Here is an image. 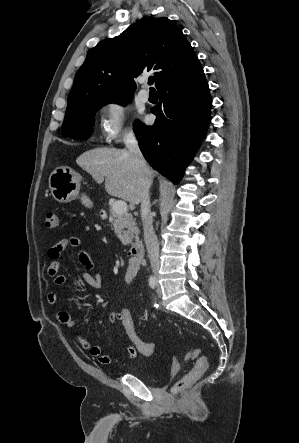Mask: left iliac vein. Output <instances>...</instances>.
I'll return each instance as SVG.
<instances>
[{
  "instance_id": "1",
  "label": "left iliac vein",
  "mask_w": 299,
  "mask_h": 443,
  "mask_svg": "<svg viewBox=\"0 0 299 443\" xmlns=\"http://www.w3.org/2000/svg\"><path fill=\"white\" fill-rule=\"evenodd\" d=\"M157 295L159 297H161V295H162V291H161V288H160L159 284H157Z\"/></svg>"
}]
</instances>
